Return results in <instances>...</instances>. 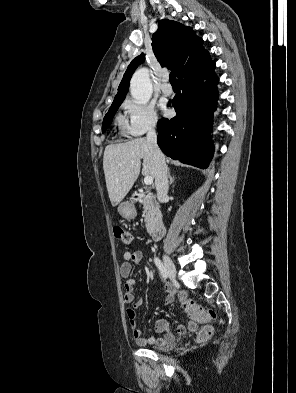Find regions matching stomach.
I'll return each instance as SVG.
<instances>
[{
    "label": "stomach",
    "mask_w": 296,
    "mask_h": 393,
    "mask_svg": "<svg viewBox=\"0 0 296 393\" xmlns=\"http://www.w3.org/2000/svg\"><path fill=\"white\" fill-rule=\"evenodd\" d=\"M118 212L127 220L134 219L137 215L134 204L130 202H122L118 207Z\"/></svg>",
    "instance_id": "stomach-1"
}]
</instances>
